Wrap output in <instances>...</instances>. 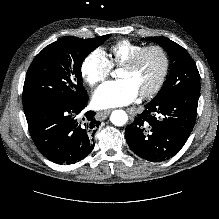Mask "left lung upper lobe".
<instances>
[{"instance_id":"5c2ea615","label":"left lung upper lobe","mask_w":219,"mask_h":219,"mask_svg":"<svg viewBox=\"0 0 219 219\" xmlns=\"http://www.w3.org/2000/svg\"><path fill=\"white\" fill-rule=\"evenodd\" d=\"M162 46L173 65L165 83L152 101H164L185 91H200V75L189 53L177 43L166 37H148Z\"/></svg>"}]
</instances>
